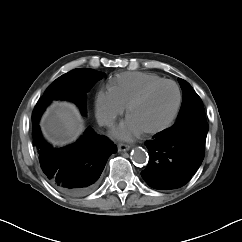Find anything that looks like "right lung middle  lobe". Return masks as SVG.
<instances>
[{
	"mask_svg": "<svg viewBox=\"0 0 242 242\" xmlns=\"http://www.w3.org/2000/svg\"><path fill=\"white\" fill-rule=\"evenodd\" d=\"M103 76V73L88 68L74 69L56 79L38 100L32 121L39 120L45 108L56 99H67L76 103L86 115V93Z\"/></svg>",
	"mask_w": 242,
	"mask_h": 242,
	"instance_id": "right-lung-middle-lobe-1",
	"label": "right lung middle lobe"
}]
</instances>
